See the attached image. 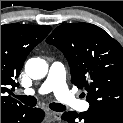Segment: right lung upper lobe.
Instances as JSON below:
<instances>
[{
    "mask_svg": "<svg viewBox=\"0 0 123 123\" xmlns=\"http://www.w3.org/2000/svg\"><path fill=\"white\" fill-rule=\"evenodd\" d=\"M51 31L50 26L6 24L1 26V112L23 106L11 97L19 84L23 63L30 51Z\"/></svg>",
    "mask_w": 123,
    "mask_h": 123,
    "instance_id": "obj_1",
    "label": "right lung upper lobe"
}]
</instances>
